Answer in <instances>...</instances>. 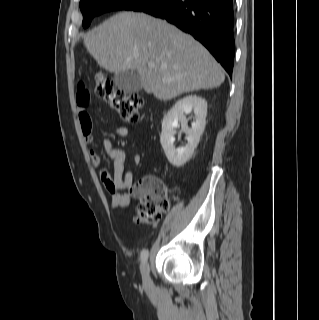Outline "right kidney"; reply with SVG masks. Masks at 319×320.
<instances>
[{
    "label": "right kidney",
    "mask_w": 319,
    "mask_h": 320,
    "mask_svg": "<svg viewBox=\"0 0 319 320\" xmlns=\"http://www.w3.org/2000/svg\"><path fill=\"white\" fill-rule=\"evenodd\" d=\"M194 112L195 121L191 128L187 125L186 115ZM207 102L204 98L189 95L175 103L168 111L162 121V132L160 142L168 161L175 167L183 166L193 155L200 137L204 132L206 125ZM186 133L188 143L185 147L176 149L174 146L176 128Z\"/></svg>",
    "instance_id": "ca27d5eb"
}]
</instances>
